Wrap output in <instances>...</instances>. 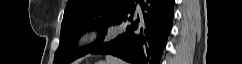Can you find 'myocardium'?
Listing matches in <instances>:
<instances>
[{"label": "myocardium", "mask_w": 242, "mask_h": 64, "mask_svg": "<svg viewBox=\"0 0 242 64\" xmlns=\"http://www.w3.org/2000/svg\"><path fill=\"white\" fill-rule=\"evenodd\" d=\"M96 33H97L96 31H91V32L89 33V35H90V36H94V35H96Z\"/></svg>", "instance_id": "1"}]
</instances>
